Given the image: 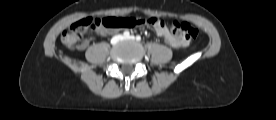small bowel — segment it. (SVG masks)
Listing matches in <instances>:
<instances>
[{
    "label": "small bowel",
    "instance_id": "small-bowel-1",
    "mask_svg": "<svg viewBox=\"0 0 276 120\" xmlns=\"http://www.w3.org/2000/svg\"><path fill=\"white\" fill-rule=\"evenodd\" d=\"M154 29L157 35L164 38V40L173 48H181L186 47L188 42L181 37L174 36L170 31L167 29L165 24L161 21L157 25L154 26ZM89 45V40H84L78 46L79 49H85Z\"/></svg>",
    "mask_w": 276,
    "mask_h": 120
}]
</instances>
